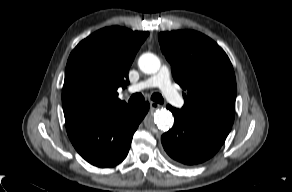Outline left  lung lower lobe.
I'll list each match as a JSON object with an SVG mask.
<instances>
[{"mask_svg": "<svg viewBox=\"0 0 292 192\" xmlns=\"http://www.w3.org/2000/svg\"><path fill=\"white\" fill-rule=\"evenodd\" d=\"M174 115V126L161 137L169 157L180 165L202 163L217 153L232 125L184 117L179 109L168 105Z\"/></svg>", "mask_w": 292, "mask_h": 192, "instance_id": "1", "label": "left lung lower lobe"}]
</instances>
